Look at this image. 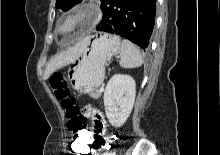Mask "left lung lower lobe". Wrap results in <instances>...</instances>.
Returning a JSON list of instances; mask_svg holds the SVG:
<instances>
[{
	"instance_id": "1",
	"label": "left lung lower lobe",
	"mask_w": 220,
	"mask_h": 155,
	"mask_svg": "<svg viewBox=\"0 0 220 155\" xmlns=\"http://www.w3.org/2000/svg\"><path fill=\"white\" fill-rule=\"evenodd\" d=\"M103 20L98 31L127 38L147 49L156 12V0H102Z\"/></svg>"
}]
</instances>
